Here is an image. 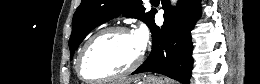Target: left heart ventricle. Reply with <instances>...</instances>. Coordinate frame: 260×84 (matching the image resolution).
Returning <instances> with one entry per match:
<instances>
[{"mask_svg":"<svg viewBox=\"0 0 260 84\" xmlns=\"http://www.w3.org/2000/svg\"><path fill=\"white\" fill-rule=\"evenodd\" d=\"M141 49L134 34L108 32L99 36L89 48L83 62V74L98 79L128 68Z\"/></svg>","mask_w":260,"mask_h":84,"instance_id":"left-heart-ventricle-1","label":"left heart ventricle"}]
</instances>
